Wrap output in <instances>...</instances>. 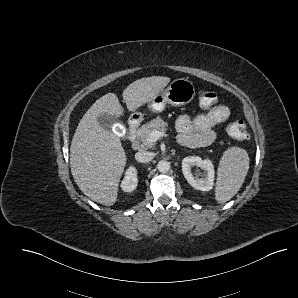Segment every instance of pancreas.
I'll return each mask as SVG.
<instances>
[{
    "label": "pancreas",
    "mask_w": 298,
    "mask_h": 298,
    "mask_svg": "<svg viewBox=\"0 0 298 298\" xmlns=\"http://www.w3.org/2000/svg\"><path fill=\"white\" fill-rule=\"evenodd\" d=\"M168 123L165 122L162 116H157L154 119H151L149 122L143 124L137 131H136V139L141 143L144 148L147 149H155L156 143L151 142L149 140V134L153 129H157L160 132H164Z\"/></svg>",
    "instance_id": "1"
}]
</instances>
